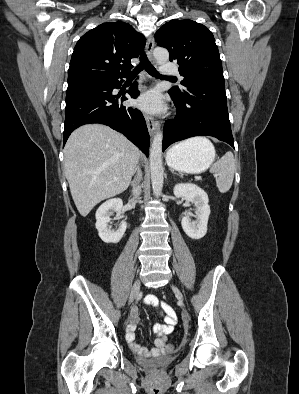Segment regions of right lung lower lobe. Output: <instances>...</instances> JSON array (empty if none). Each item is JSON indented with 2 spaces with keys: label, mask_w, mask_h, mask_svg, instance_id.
Returning <instances> with one entry per match:
<instances>
[{
  "label": "right lung lower lobe",
  "mask_w": 299,
  "mask_h": 394,
  "mask_svg": "<svg viewBox=\"0 0 299 394\" xmlns=\"http://www.w3.org/2000/svg\"><path fill=\"white\" fill-rule=\"evenodd\" d=\"M127 75L98 78L68 85L64 144L71 132L79 126L100 123L123 133L146 156L149 155V133L142 113L137 109L118 104L120 101L127 100L125 96L112 94L114 88H120L122 78ZM137 86L138 84L134 82L128 90L132 98H137L139 95Z\"/></svg>",
  "instance_id": "right-lung-lower-lobe-1"
}]
</instances>
